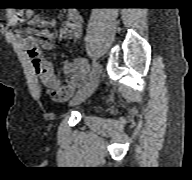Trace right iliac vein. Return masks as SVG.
Returning <instances> with one entry per match:
<instances>
[{"instance_id": "63e3f726", "label": "right iliac vein", "mask_w": 192, "mask_h": 180, "mask_svg": "<svg viewBox=\"0 0 192 180\" xmlns=\"http://www.w3.org/2000/svg\"><path fill=\"white\" fill-rule=\"evenodd\" d=\"M97 85H98V74L96 72L95 75L90 79V81L77 92L75 97L71 100L70 104L77 105L85 101L94 93V91L97 88Z\"/></svg>"}]
</instances>
